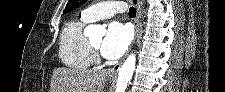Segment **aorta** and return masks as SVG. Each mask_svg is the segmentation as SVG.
I'll return each instance as SVG.
<instances>
[{"label":"aorta","mask_w":225,"mask_h":92,"mask_svg":"<svg viewBox=\"0 0 225 92\" xmlns=\"http://www.w3.org/2000/svg\"><path fill=\"white\" fill-rule=\"evenodd\" d=\"M86 31L90 34L95 32H104V27L100 25H89ZM136 56L135 54H130L124 61L122 67L119 69L118 79L116 84V92H125L126 87L130 79L132 78L133 72L135 70Z\"/></svg>","instance_id":"aorta-1"}]
</instances>
